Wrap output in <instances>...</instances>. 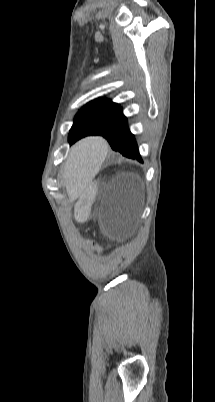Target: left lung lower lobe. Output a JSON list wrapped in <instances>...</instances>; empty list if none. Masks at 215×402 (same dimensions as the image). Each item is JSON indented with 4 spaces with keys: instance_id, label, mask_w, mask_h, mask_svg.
<instances>
[{
    "instance_id": "obj_1",
    "label": "left lung lower lobe",
    "mask_w": 215,
    "mask_h": 402,
    "mask_svg": "<svg viewBox=\"0 0 215 402\" xmlns=\"http://www.w3.org/2000/svg\"><path fill=\"white\" fill-rule=\"evenodd\" d=\"M91 135L103 136L113 150L119 151L123 156L142 162L134 135L130 132L127 119L122 112ZM79 139L81 138L74 140L71 144Z\"/></svg>"
}]
</instances>
